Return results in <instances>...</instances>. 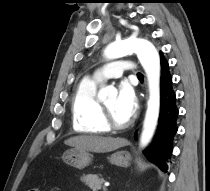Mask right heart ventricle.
I'll return each mask as SVG.
<instances>
[{
    "instance_id": "1",
    "label": "right heart ventricle",
    "mask_w": 210,
    "mask_h": 191,
    "mask_svg": "<svg viewBox=\"0 0 210 191\" xmlns=\"http://www.w3.org/2000/svg\"><path fill=\"white\" fill-rule=\"evenodd\" d=\"M98 85L95 80L83 79L76 89L72 100V119L73 128L78 133L100 135L108 132L96 95Z\"/></svg>"
}]
</instances>
